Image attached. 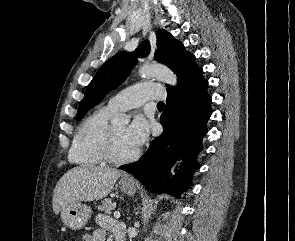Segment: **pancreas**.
I'll list each match as a JSON object with an SVG mask.
<instances>
[{"instance_id":"1","label":"pancreas","mask_w":295,"mask_h":241,"mask_svg":"<svg viewBox=\"0 0 295 241\" xmlns=\"http://www.w3.org/2000/svg\"><path fill=\"white\" fill-rule=\"evenodd\" d=\"M115 208V203L111 202L110 199H106L102 202L100 206H98V211L105 212V213H111L112 210Z\"/></svg>"}]
</instances>
